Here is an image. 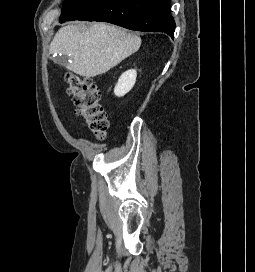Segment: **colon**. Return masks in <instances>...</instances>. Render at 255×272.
Wrapping results in <instances>:
<instances>
[{
	"instance_id": "1",
	"label": "colon",
	"mask_w": 255,
	"mask_h": 272,
	"mask_svg": "<svg viewBox=\"0 0 255 272\" xmlns=\"http://www.w3.org/2000/svg\"><path fill=\"white\" fill-rule=\"evenodd\" d=\"M65 81L76 114L98 138H104L108 129V118L102 104L101 91L87 77L69 73Z\"/></svg>"
}]
</instances>
